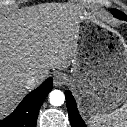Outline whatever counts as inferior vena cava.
<instances>
[{"instance_id": "inferior-vena-cava-1", "label": "inferior vena cava", "mask_w": 127, "mask_h": 127, "mask_svg": "<svg viewBox=\"0 0 127 127\" xmlns=\"http://www.w3.org/2000/svg\"><path fill=\"white\" fill-rule=\"evenodd\" d=\"M45 77H46L45 74H39V75L30 77V78L28 79V81H27V87H28V88H34L35 85H36V83H37V81H38L39 79H43V78H45Z\"/></svg>"}]
</instances>
